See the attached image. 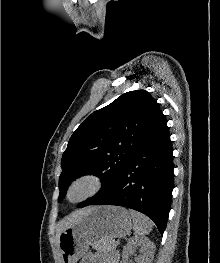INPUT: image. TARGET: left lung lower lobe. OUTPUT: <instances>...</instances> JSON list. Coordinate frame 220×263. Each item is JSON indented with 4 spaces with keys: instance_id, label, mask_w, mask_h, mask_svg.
I'll use <instances>...</instances> for the list:
<instances>
[{
    "instance_id": "obj_1",
    "label": "left lung lower lobe",
    "mask_w": 220,
    "mask_h": 263,
    "mask_svg": "<svg viewBox=\"0 0 220 263\" xmlns=\"http://www.w3.org/2000/svg\"><path fill=\"white\" fill-rule=\"evenodd\" d=\"M172 151L164 121L137 148L111 187L88 205H117L137 210L152 219L163 235L173 189Z\"/></svg>"
}]
</instances>
